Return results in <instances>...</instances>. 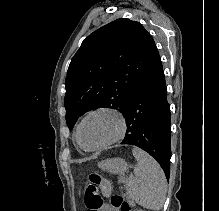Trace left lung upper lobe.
<instances>
[{"label": "left lung upper lobe", "instance_id": "1", "mask_svg": "<svg viewBox=\"0 0 219 211\" xmlns=\"http://www.w3.org/2000/svg\"><path fill=\"white\" fill-rule=\"evenodd\" d=\"M161 63L152 36L129 19H117L91 33L72 58L66 77V122L96 108L124 114L130 97Z\"/></svg>", "mask_w": 219, "mask_h": 211}]
</instances>
